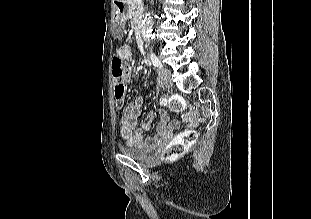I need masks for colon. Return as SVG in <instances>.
Instances as JSON below:
<instances>
[{
    "instance_id": "obj_1",
    "label": "colon",
    "mask_w": 311,
    "mask_h": 219,
    "mask_svg": "<svg viewBox=\"0 0 311 219\" xmlns=\"http://www.w3.org/2000/svg\"><path fill=\"white\" fill-rule=\"evenodd\" d=\"M126 65L122 58L114 57L112 60V74L115 82L114 95L118 107H122L126 97V84L124 81ZM170 110L180 112L185 108V103L180 97H168L163 101ZM167 115L166 112H163ZM198 139L197 131L194 129L186 130L183 134L172 139L163 150L164 159H173L183 155L188 148Z\"/></svg>"
}]
</instances>
